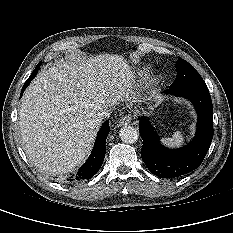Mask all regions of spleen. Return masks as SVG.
Returning <instances> with one entry per match:
<instances>
[{"mask_svg":"<svg viewBox=\"0 0 233 233\" xmlns=\"http://www.w3.org/2000/svg\"><path fill=\"white\" fill-rule=\"evenodd\" d=\"M185 141L184 135L182 132L177 131L173 134L172 138H164L162 142L169 147H179Z\"/></svg>","mask_w":233,"mask_h":233,"instance_id":"3e777b00","label":"spleen"}]
</instances>
